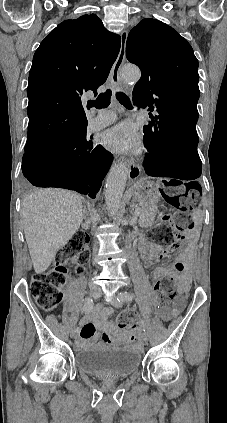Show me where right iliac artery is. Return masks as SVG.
Returning <instances> with one entry per match:
<instances>
[{
    "label": "right iliac artery",
    "mask_w": 227,
    "mask_h": 423,
    "mask_svg": "<svg viewBox=\"0 0 227 423\" xmlns=\"http://www.w3.org/2000/svg\"><path fill=\"white\" fill-rule=\"evenodd\" d=\"M92 309H93V300H92L91 298H87V299L85 300V303H84V306H83V310H84L86 313H89V312H91V311H92ZM76 332H77L78 334H80L81 329H80L79 327H77V328H76Z\"/></svg>",
    "instance_id": "1"
}]
</instances>
